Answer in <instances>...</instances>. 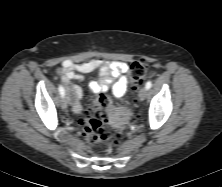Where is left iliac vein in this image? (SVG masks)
I'll return each instance as SVG.
<instances>
[{
	"label": "left iliac vein",
	"instance_id": "4c4485c4",
	"mask_svg": "<svg viewBox=\"0 0 222 187\" xmlns=\"http://www.w3.org/2000/svg\"><path fill=\"white\" fill-rule=\"evenodd\" d=\"M148 89L146 87H143L139 91V100L143 101L147 97Z\"/></svg>",
	"mask_w": 222,
	"mask_h": 187
}]
</instances>
